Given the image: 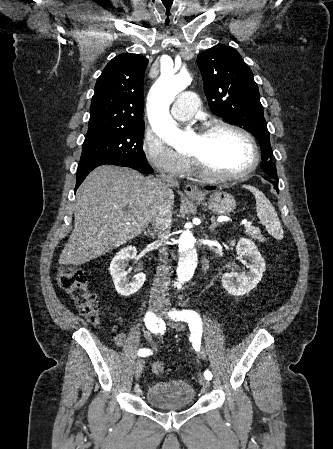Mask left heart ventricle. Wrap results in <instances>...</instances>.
Here are the masks:
<instances>
[{"label": "left heart ventricle", "instance_id": "1", "mask_svg": "<svg viewBox=\"0 0 333 449\" xmlns=\"http://www.w3.org/2000/svg\"><path fill=\"white\" fill-rule=\"evenodd\" d=\"M188 153L200 158L212 172L222 175L245 169L253 157L248 141L229 130L196 135L190 143Z\"/></svg>", "mask_w": 333, "mask_h": 449}]
</instances>
